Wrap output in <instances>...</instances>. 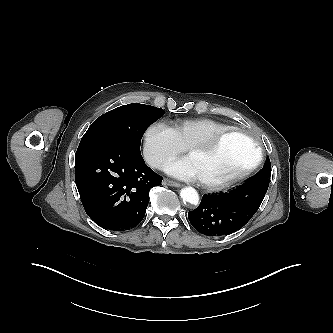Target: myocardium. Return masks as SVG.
Returning <instances> with one entry per match:
<instances>
[{
  "instance_id": "obj_1",
  "label": "myocardium",
  "mask_w": 333,
  "mask_h": 333,
  "mask_svg": "<svg viewBox=\"0 0 333 333\" xmlns=\"http://www.w3.org/2000/svg\"><path fill=\"white\" fill-rule=\"evenodd\" d=\"M233 134L243 135L251 141V143L254 145L255 151H256L254 160L245 169H243L242 171L238 172L237 174H235L225 180L213 182V181H206V180L199 179L200 184L205 189H208L211 191H218V190H223V189L229 188L232 185L236 184L237 182H239V181L243 180L244 178H246L247 176H249L260 164V162L262 160V156H263V150H262L260 143L257 141V139L253 135H251L249 132H247L243 129H240V128H230V129L224 130L222 132H219L211 137L195 141L187 147V152H188V154H190L192 151H195V150L204 151V152L211 151L214 148H216L225 137H227L229 135H233Z\"/></svg>"
}]
</instances>
